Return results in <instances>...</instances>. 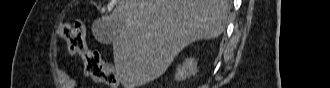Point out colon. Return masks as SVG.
Returning <instances> with one entry per match:
<instances>
[{
    "label": "colon",
    "mask_w": 330,
    "mask_h": 88,
    "mask_svg": "<svg viewBox=\"0 0 330 88\" xmlns=\"http://www.w3.org/2000/svg\"><path fill=\"white\" fill-rule=\"evenodd\" d=\"M58 36L67 43L70 52L83 56L86 75L107 87H118V78L114 67L104 64L98 52L86 47L82 24H62L59 27Z\"/></svg>",
    "instance_id": "5ec220e1"
}]
</instances>
